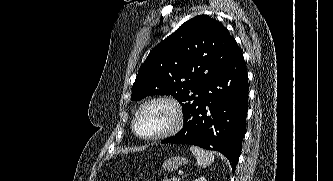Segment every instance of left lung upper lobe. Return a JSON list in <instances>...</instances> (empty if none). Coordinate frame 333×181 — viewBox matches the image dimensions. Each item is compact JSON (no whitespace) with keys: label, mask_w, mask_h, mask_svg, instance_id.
<instances>
[{"label":"left lung upper lobe","mask_w":333,"mask_h":181,"mask_svg":"<svg viewBox=\"0 0 333 181\" xmlns=\"http://www.w3.org/2000/svg\"><path fill=\"white\" fill-rule=\"evenodd\" d=\"M239 50L221 23L208 15L196 16L149 53L133 84L131 100L172 95L185 114L199 103L207 83Z\"/></svg>","instance_id":"1"}]
</instances>
